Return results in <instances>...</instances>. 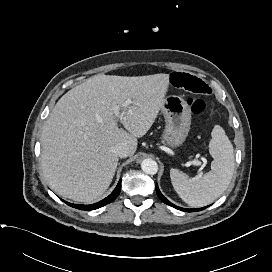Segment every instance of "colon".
<instances>
[{"label":"colon","mask_w":272,"mask_h":272,"mask_svg":"<svg viewBox=\"0 0 272 272\" xmlns=\"http://www.w3.org/2000/svg\"><path fill=\"white\" fill-rule=\"evenodd\" d=\"M187 103L190 106L192 113L195 115L202 114L207 107L205 100L198 97H189Z\"/></svg>","instance_id":"1"}]
</instances>
